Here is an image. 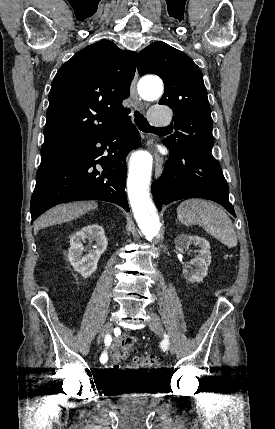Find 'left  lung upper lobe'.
<instances>
[{"label": "left lung upper lobe", "instance_id": "obj_1", "mask_svg": "<svg viewBox=\"0 0 275 429\" xmlns=\"http://www.w3.org/2000/svg\"><path fill=\"white\" fill-rule=\"evenodd\" d=\"M138 72L161 77L165 84L159 104L173 109L174 135L163 143L175 152L213 148L211 109L199 67L185 53L164 42H153L138 55Z\"/></svg>", "mask_w": 275, "mask_h": 429}]
</instances>
